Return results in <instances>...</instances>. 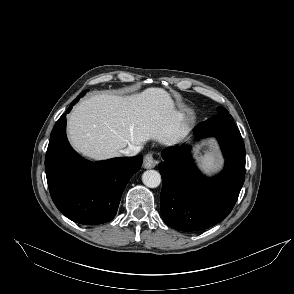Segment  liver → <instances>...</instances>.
I'll return each instance as SVG.
<instances>
[{"label": "liver", "mask_w": 294, "mask_h": 294, "mask_svg": "<svg viewBox=\"0 0 294 294\" xmlns=\"http://www.w3.org/2000/svg\"><path fill=\"white\" fill-rule=\"evenodd\" d=\"M186 119L168 92L147 88L130 96L97 94L82 100L68 117V138L84 156L105 160L127 145L149 140L174 145L186 135Z\"/></svg>", "instance_id": "obj_1"}]
</instances>
